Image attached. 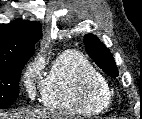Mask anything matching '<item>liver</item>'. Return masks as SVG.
I'll list each match as a JSON object with an SVG mask.
<instances>
[{"label":"liver","instance_id":"6515ba94","mask_svg":"<svg viewBox=\"0 0 142 119\" xmlns=\"http://www.w3.org/2000/svg\"><path fill=\"white\" fill-rule=\"evenodd\" d=\"M0 119H71L70 116L46 109L22 110L12 115L0 112Z\"/></svg>","mask_w":142,"mask_h":119}]
</instances>
